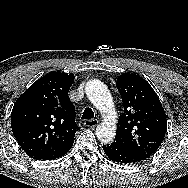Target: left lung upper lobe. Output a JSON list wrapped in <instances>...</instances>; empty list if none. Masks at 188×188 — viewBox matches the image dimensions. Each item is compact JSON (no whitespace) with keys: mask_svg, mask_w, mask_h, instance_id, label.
I'll return each mask as SVG.
<instances>
[{"mask_svg":"<svg viewBox=\"0 0 188 188\" xmlns=\"http://www.w3.org/2000/svg\"><path fill=\"white\" fill-rule=\"evenodd\" d=\"M116 87L124 111L118 120L114 143L149 158L166 133V114L161 102L149 83L136 74L118 76Z\"/></svg>","mask_w":188,"mask_h":188,"instance_id":"left-lung-upper-lobe-1","label":"left lung upper lobe"}]
</instances>
